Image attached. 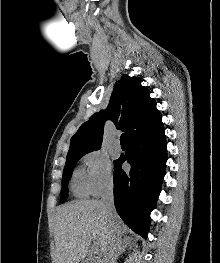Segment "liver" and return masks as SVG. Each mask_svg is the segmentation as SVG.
I'll use <instances>...</instances> for the list:
<instances>
[{"instance_id": "liver-1", "label": "liver", "mask_w": 220, "mask_h": 263, "mask_svg": "<svg viewBox=\"0 0 220 263\" xmlns=\"http://www.w3.org/2000/svg\"><path fill=\"white\" fill-rule=\"evenodd\" d=\"M115 225L121 233L125 225L117 216ZM111 225L101 201L78 200L57 209L54 224L55 263H79L88 254L90 242L105 257L110 244ZM98 263H105L104 258Z\"/></svg>"}]
</instances>
